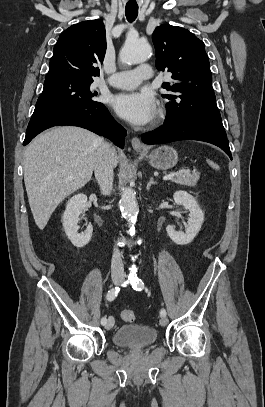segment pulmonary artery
<instances>
[{
    "mask_svg": "<svg viewBox=\"0 0 265 407\" xmlns=\"http://www.w3.org/2000/svg\"><path fill=\"white\" fill-rule=\"evenodd\" d=\"M152 68L149 65H142L133 70L117 72L106 79V82L116 88L132 89L137 87L142 81L152 78Z\"/></svg>",
    "mask_w": 265,
    "mask_h": 407,
    "instance_id": "1",
    "label": "pulmonary artery"
}]
</instances>
